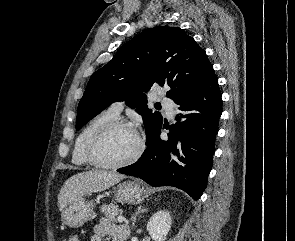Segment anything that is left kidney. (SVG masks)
Segmentation results:
<instances>
[{"instance_id":"1","label":"left kidney","mask_w":295,"mask_h":241,"mask_svg":"<svg viewBox=\"0 0 295 241\" xmlns=\"http://www.w3.org/2000/svg\"><path fill=\"white\" fill-rule=\"evenodd\" d=\"M171 224L172 219L169 212L160 210L149 219L147 230L154 241H164L171 229Z\"/></svg>"}]
</instances>
